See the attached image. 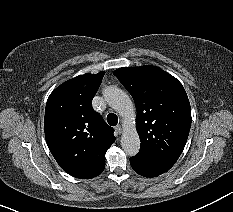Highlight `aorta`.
Here are the masks:
<instances>
[{"label":"aorta","mask_w":233,"mask_h":212,"mask_svg":"<svg viewBox=\"0 0 233 212\" xmlns=\"http://www.w3.org/2000/svg\"><path fill=\"white\" fill-rule=\"evenodd\" d=\"M106 102L117 111L125 120L126 126L121 137V147L129 156L139 152L140 139L134 126L135 108L130 97L115 86H108L103 91Z\"/></svg>","instance_id":"1"}]
</instances>
